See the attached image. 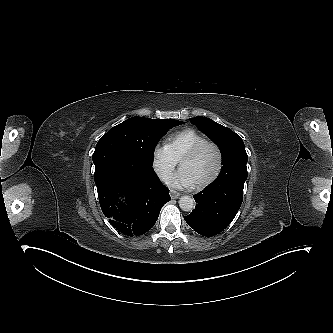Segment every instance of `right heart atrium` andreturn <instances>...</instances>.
I'll return each instance as SVG.
<instances>
[{
    "mask_svg": "<svg viewBox=\"0 0 333 333\" xmlns=\"http://www.w3.org/2000/svg\"><path fill=\"white\" fill-rule=\"evenodd\" d=\"M178 161L166 146H157L152 155V165L162 179H168L173 173Z\"/></svg>",
    "mask_w": 333,
    "mask_h": 333,
    "instance_id": "right-heart-atrium-1",
    "label": "right heart atrium"
}]
</instances>
